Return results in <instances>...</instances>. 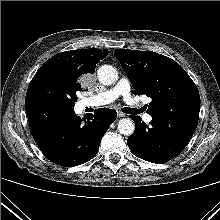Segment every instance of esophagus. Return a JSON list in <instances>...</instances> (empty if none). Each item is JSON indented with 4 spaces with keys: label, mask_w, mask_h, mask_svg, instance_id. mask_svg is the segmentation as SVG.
<instances>
[{
    "label": "esophagus",
    "mask_w": 220,
    "mask_h": 220,
    "mask_svg": "<svg viewBox=\"0 0 220 220\" xmlns=\"http://www.w3.org/2000/svg\"><path fill=\"white\" fill-rule=\"evenodd\" d=\"M117 115H118V117H125L126 115L123 113V112H121V111H117Z\"/></svg>",
    "instance_id": "34e87169"
}]
</instances>
